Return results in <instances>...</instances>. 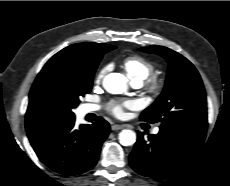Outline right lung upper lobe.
<instances>
[{"label":"right lung upper lobe","mask_w":230,"mask_h":186,"mask_svg":"<svg viewBox=\"0 0 230 186\" xmlns=\"http://www.w3.org/2000/svg\"><path fill=\"white\" fill-rule=\"evenodd\" d=\"M105 45L91 42L77 43L64 48L50 58L38 74L29 94L25 122L27 133L33 132L46 124L62 120L45 90L46 78L50 71L57 67L79 62H92L98 55L99 50Z\"/></svg>","instance_id":"right-lung-upper-lobe-1"}]
</instances>
